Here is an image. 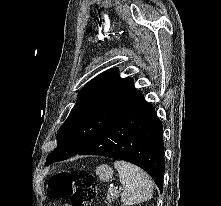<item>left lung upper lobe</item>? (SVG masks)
Instances as JSON below:
<instances>
[{
  "label": "left lung upper lobe",
  "mask_w": 221,
  "mask_h": 206,
  "mask_svg": "<svg viewBox=\"0 0 221 206\" xmlns=\"http://www.w3.org/2000/svg\"><path fill=\"white\" fill-rule=\"evenodd\" d=\"M142 92L133 80L109 69L89 81L57 133V147L45 165L72 157L102 133Z\"/></svg>",
  "instance_id": "left-lung-upper-lobe-1"
}]
</instances>
